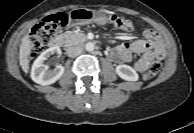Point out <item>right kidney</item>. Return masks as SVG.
I'll list each match as a JSON object with an SVG mask.
<instances>
[{"mask_svg":"<svg viewBox=\"0 0 194 133\" xmlns=\"http://www.w3.org/2000/svg\"><path fill=\"white\" fill-rule=\"evenodd\" d=\"M53 54H61L58 47H51L44 52L34 61L31 70V79L40 85H50L55 83L64 73V67L57 65L54 69H48L45 61Z\"/></svg>","mask_w":194,"mask_h":133,"instance_id":"right-kidney-1","label":"right kidney"}]
</instances>
